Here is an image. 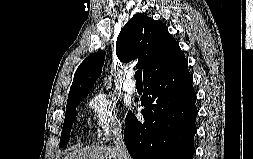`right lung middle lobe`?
<instances>
[{"label": "right lung middle lobe", "instance_id": "dd1d6c3e", "mask_svg": "<svg viewBox=\"0 0 253 159\" xmlns=\"http://www.w3.org/2000/svg\"><path fill=\"white\" fill-rule=\"evenodd\" d=\"M84 97H79L67 101L65 120L62 128L60 144L64 146L69 141L71 126L76 118V107Z\"/></svg>", "mask_w": 253, "mask_h": 159}]
</instances>
